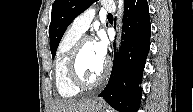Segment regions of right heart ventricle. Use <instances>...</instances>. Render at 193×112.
Wrapping results in <instances>:
<instances>
[{"instance_id": "1", "label": "right heart ventricle", "mask_w": 193, "mask_h": 112, "mask_svg": "<svg viewBox=\"0 0 193 112\" xmlns=\"http://www.w3.org/2000/svg\"><path fill=\"white\" fill-rule=\"evenodd\" d=\"M81 33L69 28L60 39L54 62L55 83L58 93L64 98H72L80 93V89L73 85L69 78L68 61L71 50Z\"/></svg>"}]
</instances>
